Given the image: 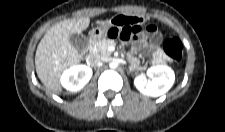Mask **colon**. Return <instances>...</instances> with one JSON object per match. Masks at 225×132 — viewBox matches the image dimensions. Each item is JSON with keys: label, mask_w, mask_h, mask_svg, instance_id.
<instances>
[{"label": "colon", "mask_w": 225, "mask_h": 132, "mask_svg": "<svg viewBox=\"0 0 225 132\" xmlns=\"http://www.w3.org/2000/svg\"><path fill=\"white\" fill-rule=\"evenodd\" d=\"M142 26H116L110 29L111 37L118 38L123 41L139 39L142 35ZM163 50L167 57L175 62H179L182 58V43L179 38L171 37L163 42Z\"/></svg>", "instance_id": "obj_1"}]
</instances>
